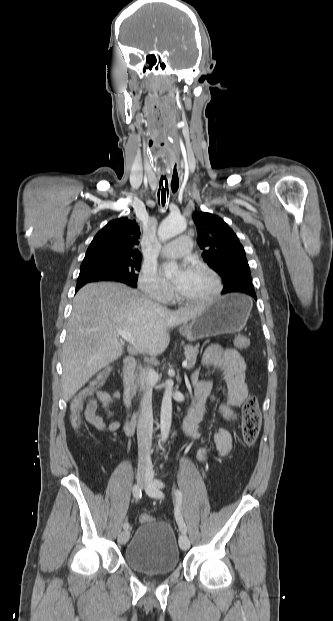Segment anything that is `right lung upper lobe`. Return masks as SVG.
<instances>
[{
  "mask_svg": "<svg viewBox=\"0 0 333 621\" xmlns=\"http://www.w3.org/2000/svg\"><path fill=\"white\" fill-rule=\"evenodd\" d=\"M140 228L135 220L122 217L101 229L86 252L84 260L101 258H141L137 246Z\"/></svg>",
  "mask_w": 333,
  "mask_h": 621,
  "instance_id": "obj_1",
  "label": "right lung upper lobe"
}]
</instances>
